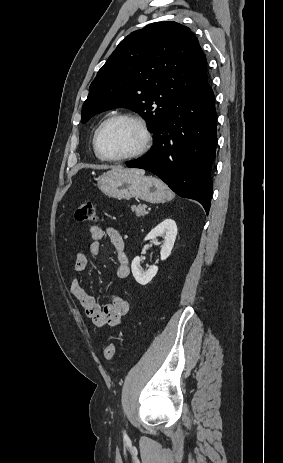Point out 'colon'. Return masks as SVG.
<instances>
[{
	"label": "colon",
	"mask_w": 283,
	"mask_h": 463,
	"mask_svg": "<svg viewBox=\"0 0 283 463\" xmlns=\"http://www.w3.org/2000/svg\"><path fill=\"white\" fill-rule=\"evenodd\" d=\"M75 218L81 222H93L97 218L96 207L91 202H84L79 205L75 212ZM104 358L107 361L114 359L116 355V345L109 343L104 349Z\"/></svg>",
	"instance_id": "5ec220e1"
}]
</instances>
